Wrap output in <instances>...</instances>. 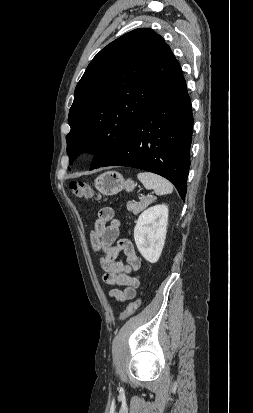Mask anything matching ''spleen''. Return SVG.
Wrapping results in <instances>:
<instances>
[{
  "label": "spleen",
  "mask_w": 253,
  "mask_h": 413,
  "mask_svg": "<svg viewBox=\"0 0 253 413\" xmlns=\"http://www.w3.org/2000/svg\"><path fill=\"white\" fill-rule=\"evenodd\" d=\"M138 180L146 189H153L157 195L171 194L173 191L172 184L162 176L151 172H139Z\"/></svg>",
  "instance_id": "1"
}]
</instances>
